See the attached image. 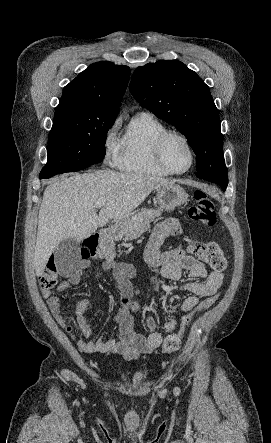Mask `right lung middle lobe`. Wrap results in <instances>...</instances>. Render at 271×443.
Segmentation results:
<instances>
[{"label":"right lung middle lobe","mask_w":271,"mask_h":443,"mask_svg":"<svg viewBox=\"0 0 271 443\" xmlns=\"http://www.w3.org/2000/svg\"><path fill=\"white\" fill-rule=\"evenodd\" d=\"M116 116L87 117L72 107H56L47 163L40 174L86 168L105 156L106 134Z\"/></svg>","instance_id":"obj_1"}]
</instances>
